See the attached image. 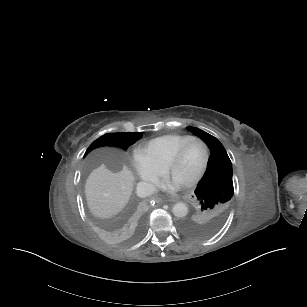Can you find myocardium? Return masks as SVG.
<instances>
[{"label":"myocardium","instance_id":"f54148a6","mask_svg":"<svg viewBox=\"0 0 307 307\" xmlns=\"http://www.w3.org/2000/svg\"><path fill=\"white\" fill-rule=\"evenodd\" d=\"M193 141H198L204 146V161L199 171L184 185L186 188H190L196 185L205 176L208 170L210 163V153L209 146L205 140L199 137H191L187 139L162 165L164 176L167 177L170 167H172L182 158L187 146Z\"/></svg>","mask_w":307,"mask_h":307}]
</instances>
